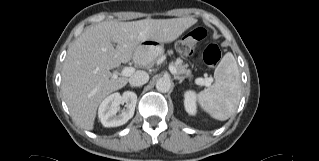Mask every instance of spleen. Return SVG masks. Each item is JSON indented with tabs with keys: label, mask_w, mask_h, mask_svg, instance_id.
Returning <instances> with one entry per match:
<instances>
[{
	"label": "spleen",
	"mask_w": 319,
	"mask_h": 161,
	"mask_svg": "<svg viewBox=\"0 0 319 161\" xmlns=\"http://www.w3.org/2000/svg\"><path fill=\"white\" fill-rule=\"evenodd\" d=\"M215 82L198 94L200 106L217 120H227L236 111L241 97V80L237 62L226 53L214 72Z\"/></svg>",
	"instance_id": "obj_1"
}]
</instances>
